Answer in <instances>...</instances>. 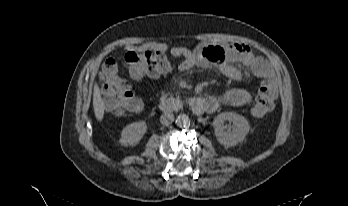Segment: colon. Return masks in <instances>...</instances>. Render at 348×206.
Instances as JSON below:
<instances>
[{
	"instance_id": "1",
	"label": "colon",
	"mask_w": 348,
	"mask_h": 206,
	"mask_svg": "<svg viewBox=\"0 0 348 206\" xmlns=\"http://www.w3.org/2000/svg\"><path fill=\"white\" fill-rule=\"evenodd\" d=\"M124 63L134 78L144 75L156 77L169 69L167 56L161 50L128 51L124 55ZM102 92L106 110L119 114L126 111L140 110L141 102L134 95L128 82L121 76L117 62L109 59L101 72ZM275 91L267 83L260 85L256 102L251 108L255 118H261L274 109Z\"/></svg>"
}]
</instances>
